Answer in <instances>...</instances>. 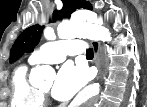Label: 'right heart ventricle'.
<instances>
[{
	"mask_svg": "<svg viewBox=\"0 0 147 107\" xmlns=\"http://www.w3.org/2000/svg\"><path fill=\"white\" fill-rule=\"evenodd\" d=\"M25 65L15 69L11 81V104L13 107H43V98L27 76Z\"/></svg>",
	"mask_w": 147,
	"mask_h": 107,
	"instance_id": "e07e8e85",
	"label": "right heart ventricle"
}]
</instances>
